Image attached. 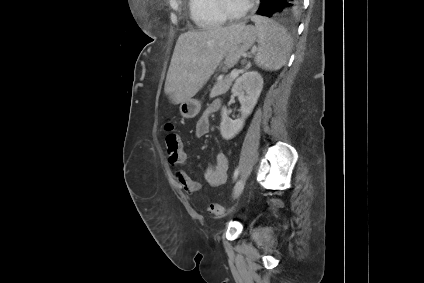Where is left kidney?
Listing matches in <instances>:
<instances>
[{
  "label": "left kidney",
  "instance_id": "1",
  "mask_svg": "<svg viewBox=\"0 0 424 283\" xmlns=\"http://www.w3.org/2000/svg\"><path fill=\"white\" fill-rule=\"evenodd\" d=\"M262 89L263 79L256 71H248L235 81L231 91L241 104V117L232 120L226 107L222 108L220 132L224 139H232L242 130L245 119L252 113Z\"/></svg>",
  "mask_w": 424,
  "mask_h": 283
}]
</instances>
